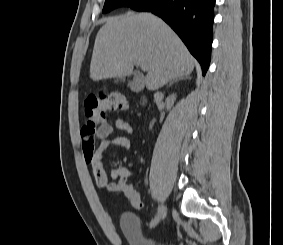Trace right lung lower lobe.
I'll return each instance as SVG.
<instances>
[{
    "instance_id": "right-lung-lower-lobe-1",
    "label": "right lung lower lobe",
    "mask_w": 283,
    "mask_h": 245,
    "mask_svg": "<svg viewBox=\"0 0 283 245\" xmlns=\"http://www.w3.org/2000/svg\"><path fill=\"white\" fill-rule=\"evenodd\" d=\"M215 0H142L131 8L161 17L199 61L205 75L211 55Z\"/></svg>"
}]
</instances>
